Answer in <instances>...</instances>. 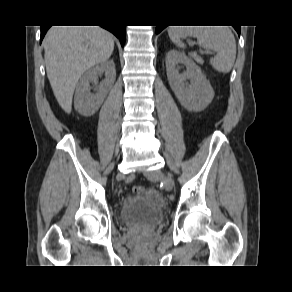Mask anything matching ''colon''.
Wrapping results in <instances>:
<instances>
[{"mask_svg": "<svg viewBox=\"0 0 292 292\" xmlns=\"http://www.w3.org/2000/svg\"><path fill=\"white\" fill-rule=\"evenodd\" d=\"M133 192L135 194H141L144 192V187L143 186H140V185H136L133 187Z\"/></svg>", "mask_w": 292, "mask_h": 292, "instance_id": "obj_1", "label": "colon"}]
</instances>
